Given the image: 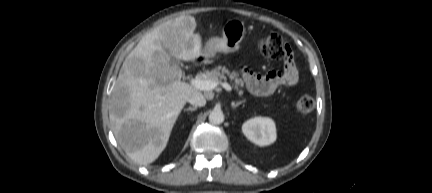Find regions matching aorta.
Masks as SVG:
<instances>
[{"label": "aorta", "mask_w": 432, "mask_h": 193, "mask_svg": "<svg viewBox=\"0 0 432 193\" xmlns=\"http://www.w3.org/2000/svg\"><path fill=\"white\" fill-rule=\"evenodd\" d=\"M209 121L214 125H219L224 121V114L221 110L215 109L209 114Z\"/></svg>", "instance_id": "762f6f07"}]
</instances>
